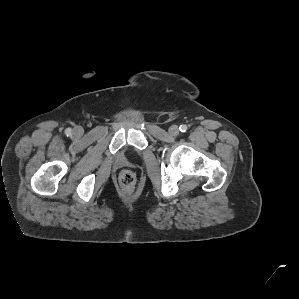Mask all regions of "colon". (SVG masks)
<instances>
[{"mask_svg": "<svg viewBox=\"0 0 299 299\" xmlns=\"http://www.w3.org/2000/svg\"><path fill=\"white\" fill-rule=\"evenodd\" d=\"M121 185L127 189H132L136 183L135 174L128 169L121 171L119 175Z\"/></svg>", "mask_w": 299, "mask_h": 299, "instance_id": "colon-1", "label": "colon"}]
</instances>
